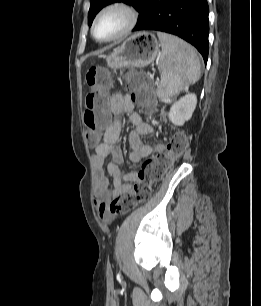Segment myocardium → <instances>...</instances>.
I'll list each match as a JSON object with an SVG mask.
<instances>
[{
    "label": "myocardium",
    "instance_id": "myocardium-1",
    "mask_svg": "<svg viewBox=\"0 0 261 306\" xmlns=\"http://www.w3.org/2000/svg\"><path fill=\"white\" fill-rule=\"evenodd\" d=\"M121 11L123 12L126 17H127V22L125 27L116 35L111 36L109 38L106 39H99L96 36V27L100 21V19L108 12L110 11ZM138 19H139V13L137 11V9L131 5L128 2L125 1H114L111 2L109 4H107L106 6H104L95 16L92 26H91V35L92 37L98 41V42H102V43H107V42H112L115 41L117 39H120L124 36H126L127 34H129L137 25L138 23Z\"/></svg>",
    "mask_w": 261,
    "mask_h": 306
}]
</instances>
